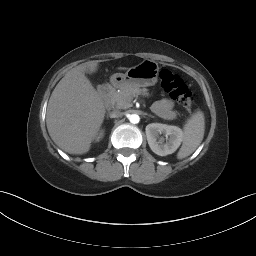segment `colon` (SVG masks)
Returning a JSON list of instances; mask_svg holds the SVG:
<instances>
[{"label":"colon","instance_id":"obj_1","mask_svg":"<svg viewBox=\"0 0 256 256\" xmlns=\"http://www.w3.org/2000/svg\"><path fill=\"white\" fill-rule=\"evenodd\" d=\"M161 88L168 93L172 99L177 101L186 109L192 108L194 96L185 82L169 69H162L159 72Z\"/></svg>","mask_w":256,"mask_h":256}]
</instances>
